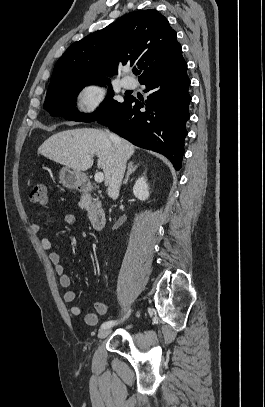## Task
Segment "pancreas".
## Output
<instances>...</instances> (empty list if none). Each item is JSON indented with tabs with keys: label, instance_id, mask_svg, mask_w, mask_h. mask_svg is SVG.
<instances>
[{
	"label": "pancreas",
	"instance_id": "cf45deb5",
	"mask_svg": "<svg viewBox=\"0 0 265 407\" xmlns=\"http://www.w3.org/2000/svg\"><path fill=\"white\" fill-rule=\"evenodd\" d=\"M97 205H100V202L97 200ZM79 206L82 209H88L89 207V200L86 196H82L79 202Z\"/></svg>",
	"mask_w": 265,
	"mask_h": 407
}]
</instances>
